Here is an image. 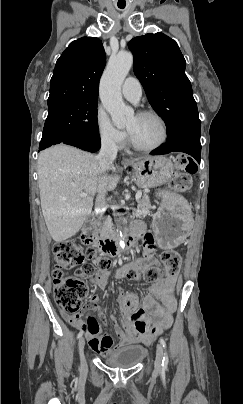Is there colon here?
<instances>
[{"label":"colon","instance_id":"obj_1","mask_svg":"<svg viewBox=\"0 0 243 404\" xmlns=\"http://www.w3.org/2000/svg\"><path fill=\"white\" fill-rule=\"evenodd\" d=\"M197 172L196 163L186 155L176 159L172 187L177 192H185L192 185V175ZM55 267L52 272L54 298L58 306L67 314H80L82 299L87 294L84 278L94 275L96 269L108 270L112 262L106 256H96L93 250L86 253L71 241L57 242L53 246ZM163 267L151 265L142 270L135 265H127L124 276L129 279L143 278L147 282H157L163 277H174L181 266V257L175 251H164L161 254ZM78 267L77 275L66 276L65 270ZM120 307L124 314H131L138 309V298L134 293H125L120 297Z\"/></svg>","mask_w":243,"mask_h":404}]
</instances>
